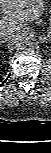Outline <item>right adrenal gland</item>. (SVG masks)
<instances>
[{
  "instance_id": "2a0ac1e0",
  "label": "right adrenal gland",
  "mask_w": 51,
  "mask_h": 153,
  "mask_svg": "<svg viewBox=\"0 0 51 153\" xmlns=\"http://www.w3.org/2000/svg\"><path fill=\"white\" fill-rule=\"evenodd\" d=\"M2 43H4V41H1V47H2Z\"/></svg>"
}]
</instances>
